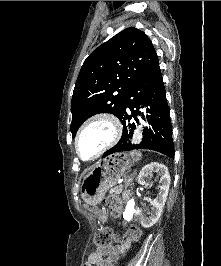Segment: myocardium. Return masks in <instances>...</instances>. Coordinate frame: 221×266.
Masks as SVG:
<instances>
[{
	"instance_id": "myocardium-1",
	"label": "myocardium",
	"mask_w": 221,
	"mask_h": 266,
	"mask_svg": "<svg viewBox=\"0 0 221 266\" xmlns=\"http://www.w3.org/2000/svg\"><path fill=\"white\" fill-rule=\"evenodd\" d=\"M99 120H104L107 121L113 130L112 133V137L111 139L108 141V143L103 146L94 156L90 157V158H84L79 151V139L81 137V135L83 134V132L85 131V129L90 126L91 124H93L96 121ZM123 128H122V124L120 122V120L113 114L111 113H107V112H102V113H97L92 115L90 118H88L83 125L80 127L79 131L77 132V135L75 137V141H74V147H75V151L77 156L84 160V161H93L95 159H97L98 157H100L105 151H107L109 148H111L120 138L121 134H122Z\"/></svg>"
}]
</instances>
